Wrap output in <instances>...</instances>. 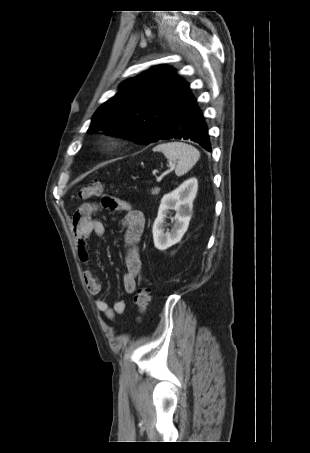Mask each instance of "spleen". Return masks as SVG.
<instances>
[{"label":"spleen","mask_w":310,"mask_h":453,"mask_svg":"<svg viewBox=\"0 0 310 453\" xmlns=\"http://www.w3.org/2000/svg\"><path fill=\"white\" fill-rule=\"evenodd\" d=\"M154 152H162L169 161H178L175 174L182 176L197 163L200 152L194 146L183 142L162 143L153 148Z\"/></svg>","instance_id":"spleen-1"}]
</instances>
